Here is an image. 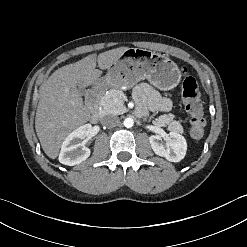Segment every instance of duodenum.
Wrapping results in <instances>:
<instances>
[{
	"mask_svg": "<svg viewBox=\"0 0 247 247\" xmlns=\"http://www.w3.org/2000/svg\"><path fill=\"white\" fill-rule=\"evenodd\" d=\"M102 94H103V88L97 86L93 88L87 96L86 101H87V105L92 111V116H91L92 121H97L101 115V112L99 110V101Z\"/></svg>",
	"mask_w": 247,
	"mask_h": 247,
	"instance_id": "obj_1",
	"label": "duodenum"
}]
</instances>
